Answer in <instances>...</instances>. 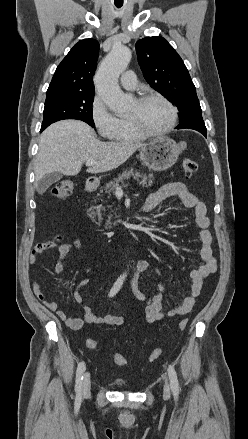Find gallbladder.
I'll return each instance as SVG.
<instances>
[{"label": "gallbladder", "mask_w": 248, "mask_h": 439, "mask_svg": "<svg viewBox=\"0 0 248 439\" xmlns=\"http://www.w3.org/2000/svg\"><path fill=\"white\" fill-rule=\"evenodd\" d=\"M62 174L59 172H52L42 178L37 185V191L39 194H43L52 184L58 182L62 178Z\"/></svg>", "instance_id": "gallbladder-1"}]
</instances>
